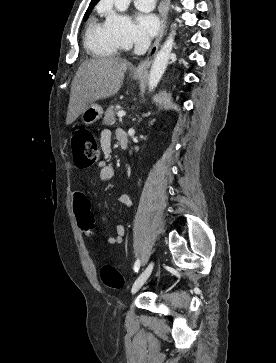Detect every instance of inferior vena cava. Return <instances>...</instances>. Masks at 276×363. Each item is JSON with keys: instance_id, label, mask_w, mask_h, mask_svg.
<instances>
[{"instance_id": "602c4592", "label": "inferior vena cava", "mask_w": 276, "mask_h": 363, "mask_svg": "<svg viewBox=\"0 0 276 363\" xmlns=\"http://www.w3.org/2000/svg\"><path fill=\"white\" fill-rule=\"evenodd\" d=\"M151 44V39L147 35L140 36L135 41L134 53L137 55H143L148 50Z\"/></svg>"}]
</instances>
